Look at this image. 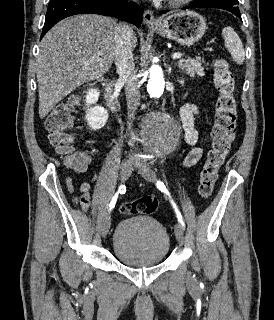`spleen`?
Returning a JSON list of instances; mask_svg holds the SVG:
<instances>
[{"label": "spleen", "instance_id": "obj_1", "mask_svg": "<svg viewBox=\"0 0 274 320\" xmlns=\"http://www.w3.org/2000/svg\"><path fill=\"white\" fill-rule=\"evenodd\" d=\"M222 38H224L225 48L230 52L234 62L243 64L245 60L243 44L233 28H223Z\"/></svg>", "mask_w": 274, "mask_h": 320}]
</instances>
